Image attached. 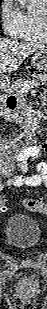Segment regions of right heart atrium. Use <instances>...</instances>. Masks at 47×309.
<instances>
[{
    "instance_id": "1",
    "label": "right heart atrium",
    "mask_w": 47,
    "mask_h": 309,
    "mask_svg": "<svg viewBox=\"0 0 47 309\" xmlns=\"http://www.w3.org/2000/svg\"><path fill=\"white\" fill-rule=\"evenodd\" d=\"M2 28L6 35L18 38L23 25V14L14 0H2L0 6Z\"/></svg>"
}]
</instances>
